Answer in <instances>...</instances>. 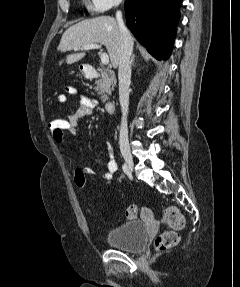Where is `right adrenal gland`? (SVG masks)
Instances as JSON below:
<instances>
[{
	"label": "right adrenal gland",
	"mask_w": 240,
	"mask_h": 287,
	"mask_svg": "<svg viewBox=\"0 0 240 287\" xmlns=\"http://www.w3.org/2000/svg\"><path fill=\"white\" fill-rule=\"evenodd\" d=\"M134 54L132 55V57H131V65L133 66L134 65Z\"/></svg>",
	"instance_id": "obj_1"
}]
</instances>
